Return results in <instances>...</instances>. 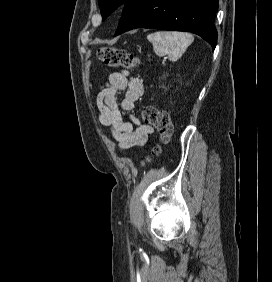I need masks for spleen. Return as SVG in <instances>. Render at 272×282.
Here are the masks:
<instances>
[{
    "label": "spleen",
    "mask_w": 272,
    "mask_h": 282,
    "mask_svg": "<svg viewBox=\"0 0 272 282\" xmlns=\"http://www.w3.org/2000/svg\"><path fill=\"white\" fill-rule=\"evenodd\" d=\"M153 44L156 55H167L171 61L178 60L186 51L194 38L189 33L157 31L147 36Z\"/></svg>",
    "instance_id": "3e777b00"
}]
</instances>
